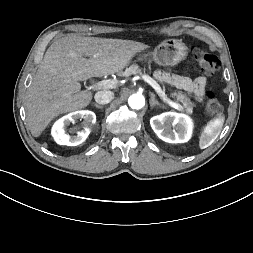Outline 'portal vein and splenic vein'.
I'll use <instances>...</instances> for the list:
<instances>
[{"label":"portal vein and splenic vein","mask_w":253,"mask_h":253,"mask_svg":"<svg viewBox=\"0 0 253 253\" xmlns=\"http://www.w3.org/2000/svg\"><path fill=\"white\" fill-rule=\"evenodd\" d=\"M142 79L147 82L149 85H151L154 90L163 98L164 101H166L171 107L175 109H181L180 104L173 102L166 98L165 93L161 89L160 85L150 76L148 75H142ZM117 81L113 79L103 80L96 84V87L99 89H112L115 88L117 85Z\"/></svg>","instance_id":"obj_1"}]
</instances>
